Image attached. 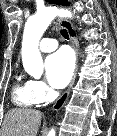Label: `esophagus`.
Returning a JSON list of instances; mask_svg holds the SVG:
<instances>
[{"label":"esophagus","mask_w":117,"mask_h":136,"mask_svg":"<svg viewBox=\"0 0 117 136\" xmlns=\"http://www.w3.org/2000/svg\"><path fill=\"white\" fill-rule=\"evenodd\" d=\"M59 24H61V26L63 28H65L73 42V46H74V49L76 51V55H77V64H76V68H75V71H74V74H73V77L70 81V84L67 88V90L60 96V98L54 103L52 109L53 110H58L60 109L64 103L66 102V100L68 99V96L70 94V91L74 85V82H75V79H76V75H77V69H78V59H79V43H78V36H77V32L75 30V28L73 27V25L65 20V19H60L58 18L56 20Z\"/></svg>","instance_id":"1"}]
</instances>
